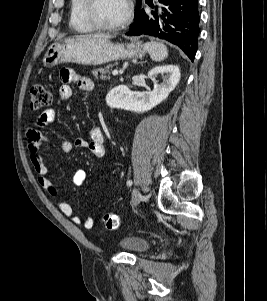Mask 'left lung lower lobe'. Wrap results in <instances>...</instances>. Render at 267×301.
I'll return each instance as SVG.
<instances>
[{
	"instance_id": "1",
	"label": "left lung lower lobe",
	"mask_w": 267,
	"mask_h": 301,
	"mask_svg": "<svg viewBox=\"0 0 267 301\" xmlns=\"http://www.w3.org/2000/svg\"><path fill=\"white\" fill-rule=\"evenodd\" d=\"M158 1L161 3L159 7L149 4L153 8L150 14L139 8L127 35H149L165 39L179 46L193 61L200 32L198 0Z\"/></svg>"
}]
</instances>
